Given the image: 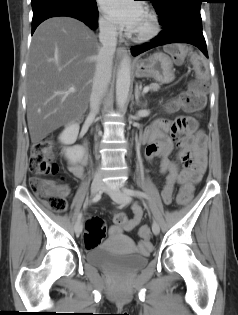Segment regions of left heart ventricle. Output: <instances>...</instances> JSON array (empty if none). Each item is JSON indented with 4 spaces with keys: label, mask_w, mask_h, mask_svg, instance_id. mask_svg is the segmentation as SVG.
Returning <instances> with one entry per match:
<instances>
[{
    "label": "left heart ventricle",
    "mask_w": 238,
    "mask_h": 315,
    "mask_svg": "<svg viewBox=\"0 0 238 315\" xmlns=\"http://www.w3.org/2000/svg\"><path fill=\"white\" fill-rule=\"evenodd\" d=\"M148 26H149V19L147 15L144 13L134 32L141 33L145 31L148 28Z\"/></svg>",
    "instance_id": "left-heart-ventricle-1"
}]
</instances>
